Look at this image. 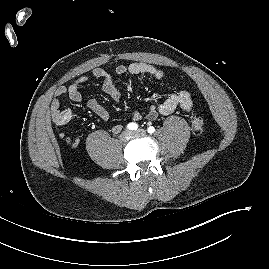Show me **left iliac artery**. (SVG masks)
I'll return each instance as SVG.
<instances>
[{
	"instance_id": "1",
	"label": "left iliac artery",
	"mask_w": 269,
	"mask_h": 269,
	"mask_svg": "<svg viewBox=\"0 0 269 269\" xmlns=\"http://www.w3.org/2000/svg\"><path fill=\"white\" fill-rule=\"evenodd\" d=\"M148 133L152 134L155 131V128L153 126L148 127L147 129Z\"/></svg>"
}]
</instances>
